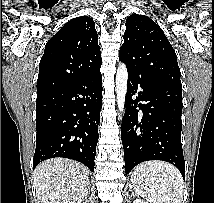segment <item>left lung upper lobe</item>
I'll list each match as a JSON object with an SVG mask.
<instances>
[{"mask_svg": "<svg viewBox=\"0 0 214 203\" xmlns=\"http://www.w3.org/2000/svg\"><path fill=\"white\" fill-rule=\"evenodd\" d=\"M125 25L119 59L128 71L182 89L176 53L162 29L138 14L131 15Z\"/></svg>", "mask_w": 214, "mask_h": 203, "instance_id": "1", "label": "left lung upper lobe"}]
</instances>
